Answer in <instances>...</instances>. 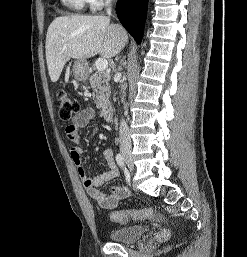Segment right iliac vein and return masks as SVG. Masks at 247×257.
<instances>
[{
  "mask_svg": "<svg viewBox=\"0 0 247 257\" xmlns=\"http://www.w3.org/2000/svg\"><path fill=\"white\" fill-rule=\"evenodd\" d=\"M122 156H123L124 160L126 161L130 171H133L134 164H133V159H132L131 152L128 149H123L122 150Z\"/></svg>",
  "mask_w": 247,
  "mask_h": 257,
  "instance_id": "63e3f726",
  "label": "right iliac vein"
}]
</instances>
